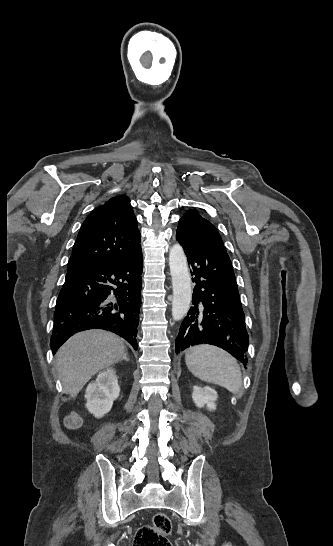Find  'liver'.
I'll return each instance as SVG.
<instances>
[{"label": "liver", "instance_id": "1", "mask_svg": "<svg viewBox=\"0 0 333 546\" xmlns=\"http://www.w3.org/2000/svg\"><path fill=\"white\" fill-rule=\"evenodd\" d=\"M124 354L123 341L112 333L90 330L73 335L56 354L63 392L76 397L93 375L117 363Z\"/></svg>", "mask_w": 333, "mask_h": 546}]
</instances>
